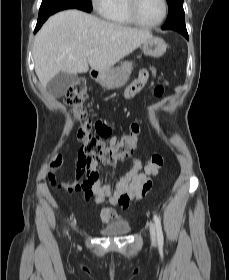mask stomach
Masks as SVG:
<instances>
[{
  "label": "stomach",
  "mask_w": 229,
  "mask_h": 280,
  "mask_svg": "<svg viewBox=\"0 0 229 280\" xmlns=\"http://www.w3.org/2000/svg\"><path fill=\"white\" fill-rule=\"evenodd\" d=\"M165 41L159 37H151L142 43V50L145 55L160 57L166 51ZM129 78V73L124 69H109L98 73L95 80L103 87L114 89L123 86Z\"/></svg>",
  "instance_id": "0dacf381"
}]
</instances>
